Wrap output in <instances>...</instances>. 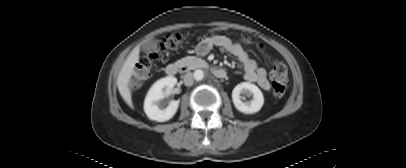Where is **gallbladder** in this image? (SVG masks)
I'll list each match as a JSON object with an SVG mask.
<instances>
[{
  "label": "gallbladder",
  "instance_id": "bac80fb5",
  "mask_svg": "<svg viewBox=\"0 0 406 168\" xmlns=\"http://www.w3.org/2000/svg\"><path fill=\"white\" fill-rule=\"evenodd\" d=\"M157 43H158V41L156 39H150L149 41L145 42L141 46V49L144 52L156 51L157 50Z\"/></svg>",
  "mask_w": 406,
  "mask_h": 168
}]
</instances>
